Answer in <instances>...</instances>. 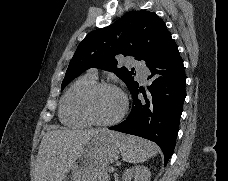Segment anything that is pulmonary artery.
Returning a JSON list of instances; mask_svg holds the SVG:
<instances>
[{
    "instance_id": "pulmonary-artery-1",
    "label": "pulmonary artery",
    "mask_w": 228,
    "mask_h": 181,
    "mask_svg": "<svg viewBox=\"0 0 228 181\" xmlns=\"http://www.w3.org/2000/svg\"><path fill=\"white\" fill-rule=\"evenodd\" d=\"M132 60V59H131ZM136 70L137 71H146L147 70V67L146 66H137L136 67Z\"/></svg>"
}]
</instances>
